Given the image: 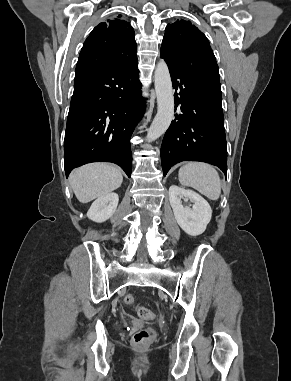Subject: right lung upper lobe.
Returning <instances> with one entry per match:
<instances>
[{
  "mask_svg": "<svg viewBox=\"0 0 291 381\" xmlns=\"http://www.w3.org/2000/svg\"><path fill=\"white\" fill-rule=\"evenodd\" d=\"M136 50L134 30L119 15L92 30L80 52L77 67L116 66L135 57Z\"/></svg>",
  "mask_w": 291,
  "mask_h": 381,
  "instance_id": "1",
  "label": "right lung upper lobe"
}]
</instances>
